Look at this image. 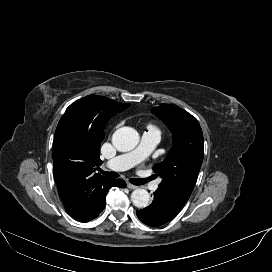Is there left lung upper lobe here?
<instances>
[{"instance_id": "obj_1", "label": "left lung upper lobe", "mask_w": 272, "mask_h": 272, "mask_svg": "<svg viewBox=\"0 0 272 272\" xmlns=\"http://www.w3.org/2000/svg\"><path fill=\"white\" fill-rule=\"evenodd\" d=\"M173 133V147L153 170L163 178L157 191L181 206L188 201L204 156L203 133L195 117L172 104L152 108Z\"/></svg>"}]
</instances>
